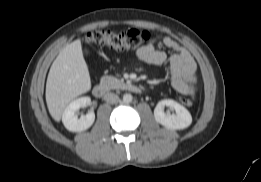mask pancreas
I'll list each match as a JSON object with an SVG mask.
<instances>
[{"label": "pancreas", "mask_w": 261, "mask_h": 182, "mask_svg": "<svg viewBox=\"0 0 261 182\" xmlns=\"http://www.w3.org/2000/svg\"><path fill=\"white\" fill-rule=\"evenodd\" d=\"M101 84L106 87V89H120L125 87L124 80L117 79L116 77L113 76H103L101 78Z\"/></svg>", "instance_id": "obj_1"}]
</instances>
